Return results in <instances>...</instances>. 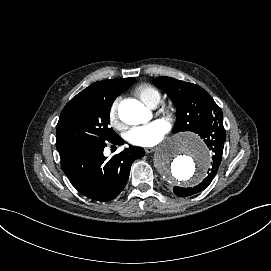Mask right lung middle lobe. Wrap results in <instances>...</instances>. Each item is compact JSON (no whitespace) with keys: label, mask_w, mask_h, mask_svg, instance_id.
<instances>
[{"label":"right lung middle lobe","mask_w":271,"mask_h":271,"mask_svg":"<svg viewBox=\"0 0 271 271\" xmlns=\"http://www.w3.org/2000/svg\"><path fill=\"white\" fill-rule=\"evenodd\" d=\"M134 81V78L99 81L67 103L56 129L58 151L76 143L111 142L117 138L108 127L110 108L115 98Z\"/></svg>","instance_id":"dd1d6c3e"}]
</instances>
